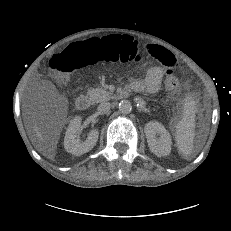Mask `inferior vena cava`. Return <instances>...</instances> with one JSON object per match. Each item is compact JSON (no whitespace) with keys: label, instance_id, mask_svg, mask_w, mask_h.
I'll return each mask as SVG.
<instances>
[{"label":"inferior vena cava","instance_id":"1","mask_svg":"<svg viewBox=\"0 0 231 231\" xmlns=\"http://www.w3.org/2000/svg\"><path fill=\"white\" fill-rule=\"evenodd\" d=\"M111 104L109 102H102L97 107V112L99 114H105L110 110Z\"/></svg>","mask_w":231,"mask_h":231}]
</instances>
